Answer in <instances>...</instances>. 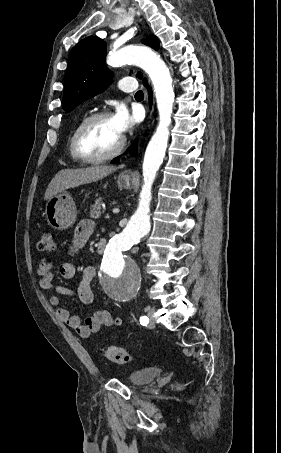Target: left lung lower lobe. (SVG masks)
I'll list each match as a JSON object with an SVG mask.
<instances>
[{
	"mask_svg": "<svg viewBox=\"0 0 281 453\" xmlns=\"http://www.w3.org/2000/svg\"><path fill=\"white\" fill-rule=\"evenodd\" d=\"M143 83H144L145 86H147V81H146L145 79L143 80ZM149 94H150V99H151V90H150V93H149ZM136 148H137V144H136V143H134V144L129 148V149H130V152H131L133 155H135L136 152H137V149H136ZM118 162H119V158H115L111 163H112V164H117Z\"/></svg>",
	"mask_w": 281,
	"mask_h": 453,
	"instance_id": "obj_1",
	"label": "left lung lower lobe"
}]
</instances>
